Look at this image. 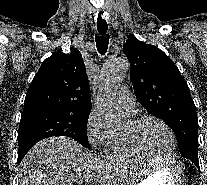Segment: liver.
I'll use <instances>...</instances> for the list:
<instances>
[{
	"label": "liver",
	"instance_id": "liver-1",
	"mask_svg": "<svg viewBox=\"0 0 207 185\" xmlns=\"http://www.w3.org/2000/svg\"><path fill=\"white\" fill-rule=\"evenodd\" d=\"M96 161L69 137H49L36 143L20 163V185H72L95 181Z\"/></svg>",
	"mask_w": 207,
	"mask_h": 185
}]
</instances>
